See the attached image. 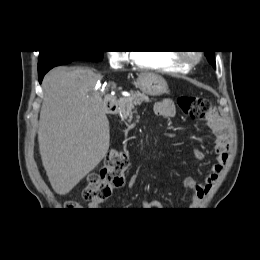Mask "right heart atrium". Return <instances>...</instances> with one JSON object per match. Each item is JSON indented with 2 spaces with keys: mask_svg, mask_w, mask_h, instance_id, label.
I'll return each mask as SVG.
<instances>
[{
  "mask_svg": "<svg viewBox=\"0 0 260 260\" xmlns=\"http://www.w3.org/2000/svg\"><path fill=\"white\" fill-rule=\"evenodd\" d=\"M108 59L113 67L118 68L129 60V55L120 51H111L108 54Z\"/></svg>",
  "mask_w": 260,
  "mask_h": 260,
  "instance_id": "d8ad5b80",
  "label": "right heart atrium"
}]
</instances>
